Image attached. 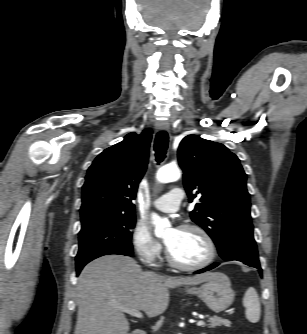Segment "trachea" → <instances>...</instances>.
<instances>
[{"instance_id":"1","label":"trachea","mask_w":307,"mask_h":334,"mask_svg":"<svg viewBox=\"0 0 307 334\" xmlns=\"http://www.w3.org/2000/svg\"><path fill=\"white\" fill-rule=\"evenodd\" d=\"M168 134L165 131H160L156 134L154 150L156 161L161 163L166 157V151L168 147Z\"/></svg>"}]
</instances>
